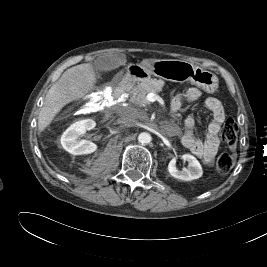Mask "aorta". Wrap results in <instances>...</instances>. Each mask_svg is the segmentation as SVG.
Instances as JSON below:
<instances>
[{"instance_id": "1", "label": "aorta", "mask_w": 267, "mask_h": 267, "mask_svg": "<svg viewBox=\"0 0 267 267\" xmlns=\"http://www.w3.org/2000/svg\"><path fill=\"white\" fill-rule=\"evenodd\" d=\"M138 141L141 144H148V143L151 142V135L149 133H147V132H142L138 136Z\"/></svg>"}]
</instances>
